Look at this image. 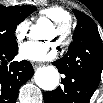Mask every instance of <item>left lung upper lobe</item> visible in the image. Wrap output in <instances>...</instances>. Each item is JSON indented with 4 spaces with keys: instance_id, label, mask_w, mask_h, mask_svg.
I'll return each mask as SVG.
<instances>
[{
    "instance_id": "1",
    "label": "left lung upper lobe",
    "mask_w": 103,
    "mask_h": 103,
    "mask_svg": "<svg viewBox=\"0 0 103 103\" xmlns=\"http://www.w3.org/2000/svg\"><path fill=\"white\" fill-rule=\"evenodd\" d=\"M77 18V26L73 35V42L70 47L73 46L78 40L83 38L90 31H98L96 23L83 12L73 10ZM69 47V48H70Z\"/></svg>"
}]
</instances>
